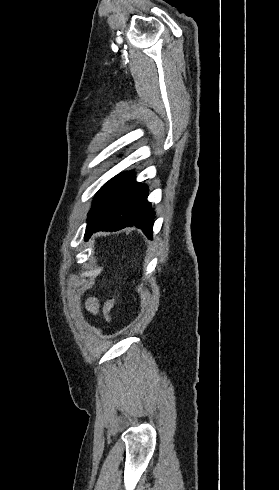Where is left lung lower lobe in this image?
<instances>
[{"label": "left lung lower lobe", "mask_w": 279, "mask_h": 490, "mask_svg": "<svg viewBox=\"0 0 279 490\" xmlns=\"http://www.w3.org/2000/svg\"><path fill=\"white\" fill-rule=\"evenodd\" d=\"M135 172L128 178L117 195L114 209L96 224L88 228L85 239L97 231H116L135 226L152 239L155 212L148 202V187L135 181Z\"/></svg>", "instance_id": "obj_1"}]
</instances>
